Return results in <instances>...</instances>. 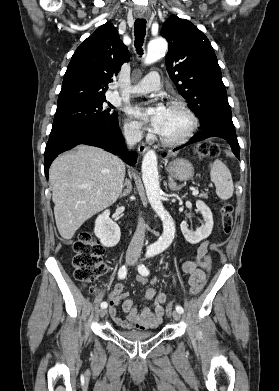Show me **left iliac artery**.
<instances>
[{
  "mask_svg": "<svg viewBox=\"0 0 279 391\" xmlns=\"http://www.w3.org/2000/svg\"><path fill=\"white\" fill-rule=\"evenodd\" d=\"M155 254H156V250H148L147 253H146V257L149 258V257L154 256ZM138 271L143 276L149 275L148 268L145 265H143V264H140L138 266ZM176 311H178L179 313H183L184 312L183 308L180 305H176Z\"/></svg>",
  "mask_w": 279,
  "mask_h": 391,
  "instance_id": "obj_1",
  "label": "left iliac artery"
}]
</instances>
